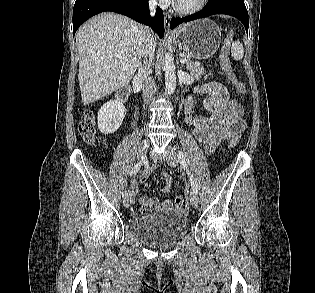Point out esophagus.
Segmentation results:
<instances>
[{"label": "esophagus", "mask_w": 315, "mask_h": 293, "mask_svg": "<svg viewBox=\"0 0 315 293\" xmlns=\"http://www.w3.org/2000/svg\"><path fill=\"white\" fill-rule=\"evenodd\" d=\"M170 21H171L170 15L165 13L164 14V25H165V30L167 33L170 32Z\"/></svg>", "instance_id": "1"}]
</instances>
